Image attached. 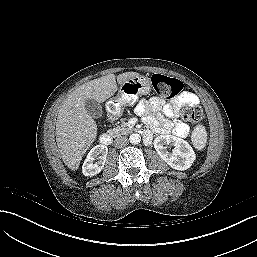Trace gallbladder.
<instances>
[{
	"mask_svg": "<svg viewBox=\"0 0 257 257\" xmlns=\"http://www.w3.org/2000/svg\"><path fill=\"white\" fill-rule=\"evenodd\" d=\"M85 109L93 118H100L102 116V107L99 102L94 99H87L85 101Z\"/></svg>",
	"mask_w": 257,
	"mask_h": 257,
	"instance_id": "1",
	"label": "gallbladder"
}]
</instances>
